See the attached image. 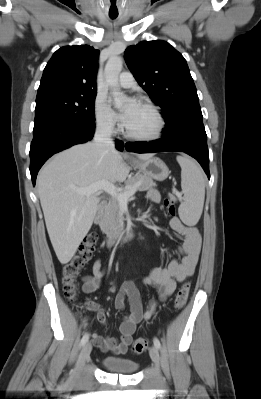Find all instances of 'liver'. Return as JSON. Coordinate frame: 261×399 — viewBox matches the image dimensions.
<instances>
[{"label": "liver", "instance_id": "liver-1", "mask_svg": "<svg viewBox=\"0 0 261 399\" xmlns=\"http://www.w3.org/2000/svg\"><path fill=\"white\" fill-rule=\"evenodd\" d=\"M151 153L138 154L140 160ZM130 172L122 154L105 145L88 142L55 155L39 172L37 190L47 231L61 264H67L89 232L100 199L80 194L101 181H125Z\"/></svg>", "mask_w": 261, "mask_h": 399}]
</instances>
